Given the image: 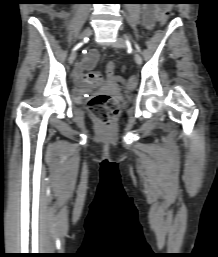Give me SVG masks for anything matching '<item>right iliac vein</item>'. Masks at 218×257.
Masks as SVG:
<instances>
[{
  "label": "right iliac vein",
  "instance_id": "1",
  "mask_svg": "<svg viewBox=\"0 0 218 257\" xmlns=\"http://www.w3.org/2000/svg\"><path fill=\"white\" fill-rule=\"evenodd\" d=\"M91 33H92V30H91L90 28H86V29L82 32L80 38H81V39H85V38L89 37V36L91 35ZM76 55H77V52H76V50H75V51H73V53H72L71 56L69 57V63H70V64H73V63H74L75 58H76Z\"/></svg>",
  "mask_w": 218,
  "mask_h": 257
}]
</instances>
